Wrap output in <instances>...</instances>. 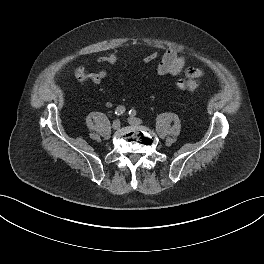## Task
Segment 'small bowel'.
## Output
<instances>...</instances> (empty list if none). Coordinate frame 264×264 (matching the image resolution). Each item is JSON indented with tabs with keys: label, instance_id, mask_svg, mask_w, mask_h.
Listing matches in <instances>:
<instances>
[{
	"label": "small bowel",
	"instance_id": "1",
	"mask_svg": "<svg viewBox=\"0 0 264 264\" xmlns=\"http://www.w3.org/2000/svg\"><path fill=\"white\" fill-rule=\"evenodd\" d=\"M187 62V56L178 52L175 49H167L156 67V73L159 76H176L178 75ZM185 74L197 87L198 79L202 75V70L199 67H188ZM106 70L99 68L94 72H87L84 66H79L75 70V77L80 82L90 81L94 84H100L106 78Z\"/></svg>",
	"mask_w": 264,
	"mask_h": 264
}]
</instances>
